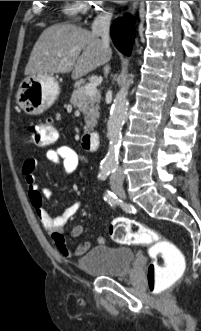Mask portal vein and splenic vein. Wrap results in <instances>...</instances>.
<instances>
[{"mask_svg":"<svg viewBox=\"0 0 201 331\" xmlns=\"http://www.w3.org/2000/svg\"><path fill=\"white\" fill-rule=\"evenodd\" d=\"M58 57H61V54H57ZM97 92L96 85L94 83H88L84 87V93L86 95H94Z\"/></svg>","mask_w":201,"mask_h":331,"instance_id":"portal-vein-and-splenic-vein-1","label":"portal vein and splenic vein"}]
</instances>
